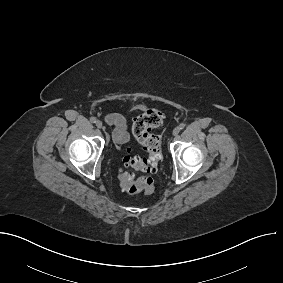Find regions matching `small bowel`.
I'll list each match as a JSON object with an SVG mask.
<instances>
[{"mask_svg":"<svg viewBox=\"0 0 283 283\" xmlns=\"http://www.w3.org/2000/svg\"><path fill=\"white\" fill-rule=\"evenodd\" d=\"M104 119L108 125L114 127L112 138L116 144H124L129 141L130 134L127 131V121L124 116L119 113H109Z\"/></svg>","mask_w":283,"mask_h":283,"instance_id":"1","label":"small bowel"}]
</instances>
